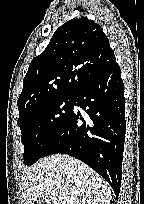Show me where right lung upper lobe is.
<instances>
[{
	"instance_id": "1",
	"label": "right lung upper lobe",
	"mask_w": 144,
	"mask_h": 204,
	"mask_svg": "<svg viewBox=\"0 0 144 204\" xmlns=\"http://www.w3.org/2000/svg\"><path fill=\"white\" fill-rule=\"evenodd\" d=\"M114 62L100 25L87 17L66 22L31 61L17 101L19 116L52 98L75 96Z\"/></svg>"
}]
</instances>
